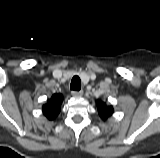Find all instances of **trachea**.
<instances>
[{"label":"trachea","mask_w":160,"mask_h":158,"mask_svg":"<svg viewBox=\"0 0 160 158\" xmlns=\"http://www.w3.org/2000/svg\"><path fill=\"white\" fill-rule=\"evenodd\" d=\"M70 89L74 91H79L81 89V80L79 76H74L71 80Z\"/></svg>","instance_id":"3493384b"}]
</instances>
